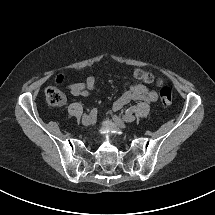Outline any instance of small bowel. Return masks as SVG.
<instances>
[{"instance_id":"small-bowel-1","label":"small bowel","mask_w":215,"mask_h":215,"mask_svg":"<svg viewBox=\"0 0 215 215\" xmlns=\"http://www.w3.org/2000/svg\"><path fill=\"white\" fill-rule=\"evenodd\" d=\"M97 84V79L94 76H88L84 83H73L68 86V91L74 96L86 97L90 91L94 90ZM131 100H142L148 103L155 102L157 100V93L153 90H149L140 83H132L129 88L119 98H117L112 106L113 111L121 109L124 105Z\"/></svg>"}]
</instances>
